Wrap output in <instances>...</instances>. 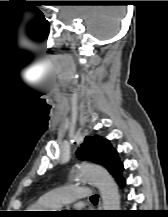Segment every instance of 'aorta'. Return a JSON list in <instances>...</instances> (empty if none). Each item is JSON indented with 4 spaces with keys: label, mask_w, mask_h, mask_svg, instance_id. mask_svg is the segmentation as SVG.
Masks as SVG:
<instances>
[{
    "label": "aorta",
    "mask_w": 168,
    "mask_h": 217,
    "mask_svg": "<svg viewBox=\"0 0 168 217\" xmlns=\"http://www.w3.org/2000/svg\"><path fill=\"white\" fill-rule=\"evenodd\" d=\"M76 178L90 182L99 189L104 210H120L118 186L107 170L94 164H81L76 168Z\"/></svg>",
    "instance_id": "762f6f07"
}]
</instances>
